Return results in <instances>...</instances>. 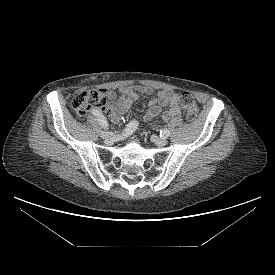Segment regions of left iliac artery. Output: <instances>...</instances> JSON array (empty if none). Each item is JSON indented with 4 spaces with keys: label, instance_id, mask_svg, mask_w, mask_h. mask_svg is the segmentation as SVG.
Returning <instances> with one entry per match:
<instances>
[{
    "label": "left iliac artery",
    "instance_id": "obj_1",
    "mask_svg": "<svg viewBox=\"0 0 275 275\" xmlns=\"http://www.w3.org/2000/svg\"><path fill=\"white\" fill-rule=\"evenodd\" d=\"M169 135H170V131L168 129H162L160 131V136H162L164 138L169 137Z\"/></svg>",
    "mask_w": 275,
    "mask_h": 275
}]
</instances>
